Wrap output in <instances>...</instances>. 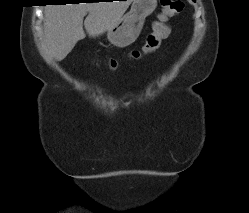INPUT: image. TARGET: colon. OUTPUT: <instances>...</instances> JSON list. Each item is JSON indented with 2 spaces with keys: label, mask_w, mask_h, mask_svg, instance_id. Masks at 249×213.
Returning a JSON list of instances; mask_svg holds the SVG:
<instances>
[{
  "label": "colon",
  "mask_w": 249,
  "mask_h": 213,
  "mask_svg": "<svg viewBox=\"0 0 249 213\" xmlns=\"http://www.w3.org/2000/svg\"><path fill=\"white\" fill-rule=\"evenodd\" d=\"M160 4L161 12L154 21L152 31L147 35L144 46L141 50H134L130 54L134 59L153 53L159 48L161 42L169 34L170 20L179 15L184 7L181 0H160ZM108 64L111 69H115L118 66V62L114 59H110Z\"/></svg>",
  "instance_id": "obj_1"
}]
</instances>
